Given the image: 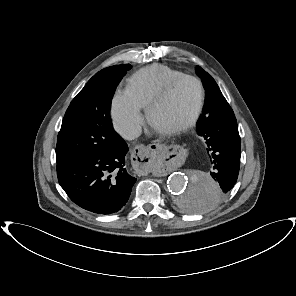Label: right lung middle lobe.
<instances>
[{
	"label": "right lung middle lobe",
	"mask_w": 296,
	"mask_h": 296,
	"mask_svg": "<svg viewBox=\"0 0 296 296\" xmlns=\"http://www.w3.org/2000/svg\"><path fill=\"white\" fill-rule=\"evenodd\" d=\"M131 67L121 64L99 71L72 100L58 133L57 164L123 146L109 110L116 87Z\"/></svg>",
	"instance_id": "right-lung-middle-lobe-1"
}]
</instances>
